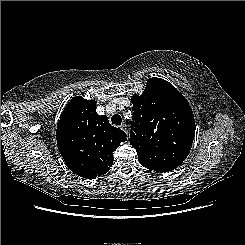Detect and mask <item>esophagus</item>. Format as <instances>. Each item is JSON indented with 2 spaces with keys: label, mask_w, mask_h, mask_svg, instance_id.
<instances>
[{
  "label": "esophagus",
  "mask_w": 245,
  "mask_h": 245,
  "mask_svg": "<svg viewBox=\"0 0 245 245\" xmlns=\"http://www.w3.org/2000/svg\"><path fill=\"white\" fill-rule=\"evenodd\" d=\"M121 129H122L126 134H128V129H127V125H126V124H122V125H121Z\"/></svg>",
  "instance_id": "1"
}]
</instances>
